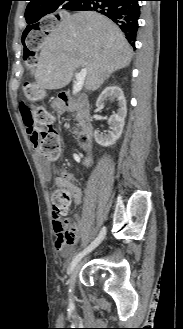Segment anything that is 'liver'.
I'll return each instance as SVG.
<instances>
[{
  "instance_id": "liver-1",
  "label": "liver",
  "mask_w": 183,
  "mask_h": 329,
  "mask_svg": "<svg viewBox=\"0 0 183 329\" xmlns=\"http://www.w3.org/2000/svg\"><path fill=\"white\" fill-rule=\"evenodd\" d=\"M133 50L121 30L93 11L66 16L43 43L35 78L45 89L68 85L74 72L86 68L85 86L97 90L115 71L127 67Z\"/></svg>"
}]
</instances>
